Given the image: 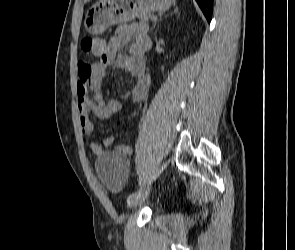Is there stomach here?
Listing matches in <instances>:
<instances>
[{"label":"stomach","instance_id":"0dacf381","mask_svg":"<svg viewBox=\"0 0 295 250\" xmlns=\"http://www.w3.org/2000/svg\"><path fill=\"white\" fill-rule=\"evenodd\" d=\"M173 3L175 0H99L88 9L84 27L90 34H100L109 26L142 14L166 11Z\"/></svg>","mask_w":295,"mask_h":250}]
</instances>
